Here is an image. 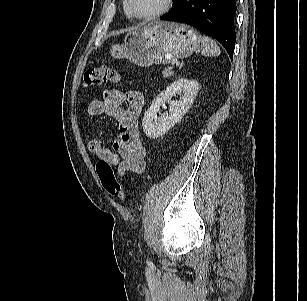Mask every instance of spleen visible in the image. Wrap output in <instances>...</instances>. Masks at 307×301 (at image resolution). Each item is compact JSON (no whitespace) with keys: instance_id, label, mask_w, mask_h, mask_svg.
I'll return each mask as SVG.
<instances>
[{"instance_id":"3e777b00","label":"spleen","mask_w":307,"mask_h":301,"mask_svg":"<svg viewBox=\"0 0 307 301\" xmlns=\"http://www.w3.org/2000/svg\"><path fill=\"white\" fill-rule=\"evenodd\" d=\"M201 54L204 56H218L220 55V48L213 39L203 36L201 38Z\"/></svg>"}]
</instances>
